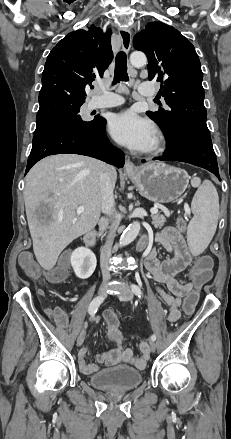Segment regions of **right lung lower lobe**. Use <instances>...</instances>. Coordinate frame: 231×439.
I'll return each instance as SVG.
<instances>
[{
  "instance_id": "right-lung-lower-lobe-1",
  "label": "right lung lower lobe",
  "mask_w": 231,
  "mask_h": 439,
  "mask_svg": "<svg viewBox=\"0 0 231 439\" xmlns=\"http://www.w3.org/2000/svg\"><path fill=\"white\" fill-rule=\"evenodd\" d=\"M105 125L106 120L98 118V124L87 130L58 128L34 135L26 172L40 159L62 153L91 156L123 167L124 153L109 142Z\"/></svg>"
}]
</instances>
